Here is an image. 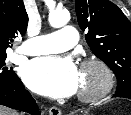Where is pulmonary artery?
<instances>
[{"mask_svg":"<svg viewBox=\"0 0 131 115\" xmlns=\"http://www.w3.org/2000/svg\"><path fill=\"white\" fill-rule=\"evenodd\" d=\"M77 40L76 29L66 26L56 32L25 40L18 52L29 56L62 52L73 47Z\"/></svg>","mask_w":131,"mask_h":115,"instance_id":"pulmonary-artery-1","label":"pulmonary artery"}]
</instances>
